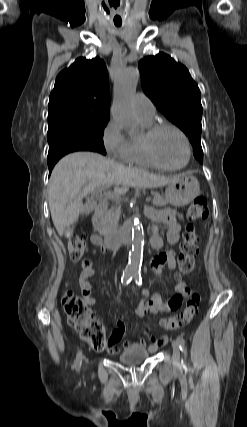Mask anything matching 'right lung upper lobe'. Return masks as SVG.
I'll list each match as a JSON object with an SVG mask.
<instances>
[{"mask_svg": "<svg viewBox=\"0 0 247 427\" xmlns=\"http://www.w3.org/2000/svg\"><path fill=\"white\" fill-rule=\"evenodd\" d=\"M63 109L110 112L109 77L103 60L80 57L59 73L48 114Z\"/></svg>", "mask_w": 247, "mask_h": 427, "instance_id": "cb5924a9", "label": "right lung upper lobe"}]
</instances>
